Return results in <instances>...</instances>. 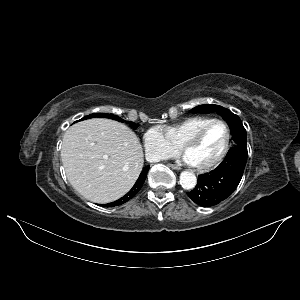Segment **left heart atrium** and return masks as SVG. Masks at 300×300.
Wrapping results in <instances>:
<instances>
[{
    "mask_svg": "<svg viewBox=\"0 0 300 300\" xmlns=\"http://www.w3.org/2000/svg\"><path fill=\"white\" fill-rule=\"evenodd\" d=\"M183 159H184V161H185L186 163L192 164L191 161H190V159H189L186 155L184 156Z\"/></svg>",
    "mask_w": 300,
    "mask_h": 300,
    "instance_id": "1",
    "label": "left heart atrium"
}]
</instances>
